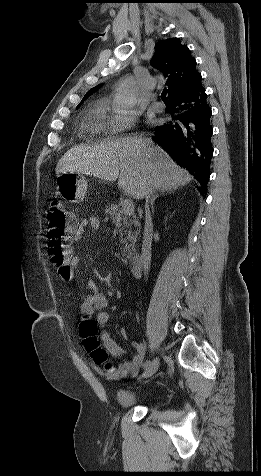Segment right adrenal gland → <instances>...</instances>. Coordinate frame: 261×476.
<instances>
[{
  "instance_id": "1",
  "label": "right adrenal gland",
  "mask_w": 261,
  "mask_h": 476,
  "mask_svg": "<svg viewBox=\"0 0 261 476\" xmlns=\"http://www.w3.org/2000/svg\"><path fill=\"white\" fill-rule=\"evenodd\" d=\"M172 191H164V192H160L158 193L157 191H153V193L151 194V197L149 198L150 200V205H151V209H152V213H154V202L155 200L161 196V195H165L167 193H171Z\"/></svg>"
}]
</instances>
